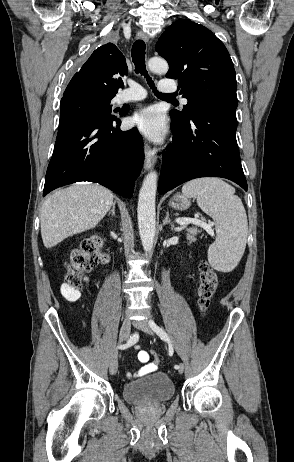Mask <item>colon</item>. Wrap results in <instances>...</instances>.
Wrapping results in <instances>:
<instances>
[{
    "mask_svg": "<svg viewBox=\"0 0 294 462\" xmlns=\"http://www.w3.org/2000/svg\"><path fill=\"white\" fill-rule=\"evenodd\" d=\"M108 255L103 251L100 237L84 239L78 247L71 250L65 265L64 282L61 294L67 300L79 298L81 290L86 284V274L97 264L106 262ZM200 285L198 289V303L205 312L211 305L218 287V276L215 270L205 261L199 266ZM152 361L159 362L156 352H151Z\"/></svg>",
    "mask_w": 294,
    "mask_h": 462,
    "instance_id": "obj_1",
    "label": "colon"
}]
</instances>
